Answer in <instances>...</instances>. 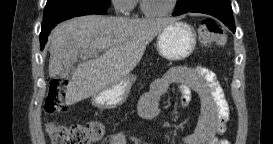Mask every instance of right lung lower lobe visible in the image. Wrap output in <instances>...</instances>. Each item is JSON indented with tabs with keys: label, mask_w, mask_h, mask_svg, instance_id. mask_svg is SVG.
<instances>
[{
	"label": "right lung lower lobe",
	"mask_w": 273,
	"mask_h": 144,
	"mask_svg": "<svg viewBox=\"0 0 273 144\" xmlns=\"http://www.w3.org/2000/svg\"><path fill=\"white\" fill-rule=\"evenodd\" d=\"M107 8L98 4L80 3L65 4L55 7L49 14L43 18L40 33L41 50L44 48L50 31L60 22L89 14H106Z\"/></svg>",
	"instance_id": "right-lung-lower-lobe-1"
}]
</instances>
